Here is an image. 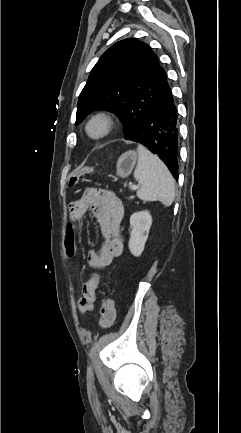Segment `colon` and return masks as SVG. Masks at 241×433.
Instances as JSON below:
<instances>
[{
  "mask_svg": "<svg viewBox=\"0 0 241 433\" xmlns=\"http://www.w3.org/2000/svg\"><path fill=\"white\" fill-rule=\"evenodd\" d=\"M71 177H67L65 180V183L67 186H76L78 183V179L80 177H89L91 174V171L89 168H72L71 171ZM67 223L70 225L66 228L65 231V244L67 245V255L69 257H72L74 255V246L76 245V240L79 236L78 229L73 226L76 223V220L73 217H70L67 220ZM98 285V278L92 277L91 278V286H97ZM115 320V308L113 304V300L110 297L109 294H106L102 311H101V318L99 325L102 329H107L112 326L113 322Z\"/></svg>",
  "mask_w": 241,
  "mask_h": 433,
  "instance_id": "1",
  "label": "colon"
}]
</instances>
